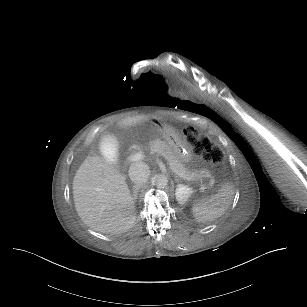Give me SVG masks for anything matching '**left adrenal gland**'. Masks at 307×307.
I'll list each match as a JSON object with an SVG mask.
<instances>
[{"label":"left adrenal gland","instance_id":"obj_1","mask_svg":"<svg viewBox=\"0 0 307 307\" xmlns=\"http://www.w3.org/2000/svg\"><path fill=\"white\" fill-rule=\"evenodd\" d=\"M175 182H179V177L177 175H174Z\"/></svg>","mask_w":307,"mask_h":307}]
</instances>
